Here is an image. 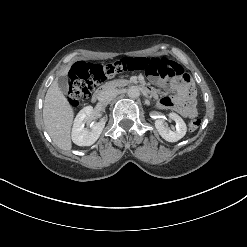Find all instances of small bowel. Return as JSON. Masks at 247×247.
<instances>
[{"label":"small bowel","mask_w":247,"mask_h":247,"mask_svg":"<svg viewBox=\"0 0 247 247\" xmlns=\"http://www.w3.org/2000/svg\"><path fill=\"white\" fill-rule=\"evenodd\" d=\"M140 72L144 73L152 83L170 87L173 94L159 99L158 106L160 108L173 110L184 117H192L196 114V101L192 85L188 80L175 76L176 73L186 74L178 63L166 59H154L149 61ZM150 90L154 97L158 96L157 91Z\"/></svg>","instance_id":"c3829d8e"}]
</instances>
